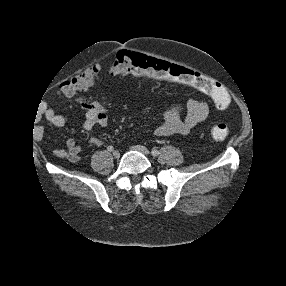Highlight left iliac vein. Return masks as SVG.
I'll return each instance as SVG.
<instances>
[{"label": "left iliac vein", "mask_w": 286, "mask_h": 286, "mask_svg": "<svg viewBox=\"0 0 286 286\" xmlns=\"http://www.w3.org/2000/svg\"><path fill=\"white\" fill-rule=\"evenodd\" d=\"M131 149L134 151L141 152L142 154L146 156L150 155V151L145 146H142V145H133L131 146Z\"/></svg>", "instance_id": "4c4485c4"}]
</instances>
